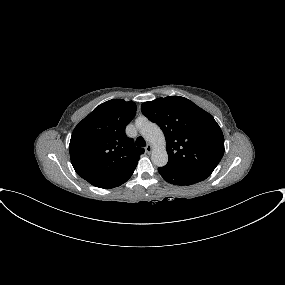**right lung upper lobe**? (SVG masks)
<instances>
[{"mask_svg":"<svg viewBox=\"0 0 285 285\" xmlns=\"http://www.w3.org/2000/svg\"><path fill=\"white\" fill-rule=\"evenodd\" d=\"M136 105L122 99L100 104L75 127L69 152L77 174L99 188H114L133 174L143 148L125 134Z\"/></svg>","mask_w":285,"mask_h":285,"instance_id":"right-lung-upper-lobe-1","label":"right lung upper lobe"}]
</instances>
